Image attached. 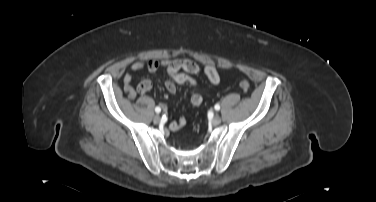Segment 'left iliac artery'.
Wrapping results in <instances>:
<instances>
[{"label": "left iliac artery", "mask_w": 376, "mask_h": 202, "mask_svg": "<svg viewBox=\"0 0 376 202\" xmlns=\"http://www.w3.org/2000/svg\"><path fill=\"white\" fill-rule=\"evenodd\" d=\"M214 108H215V110L218 111V110H220V105H219V104H216Z\"/></svg>", "instance_id": "obj_1"}]
</instances>
